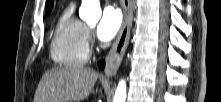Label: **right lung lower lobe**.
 Wrapping results in <instances>:
<instances>
[{
	"label": "right lung lower lobe",
	"instance_id": "98d812e1",
	"mask_svg": "<svg viewBox=\"0 0 221 102\" xmlns=\"http://www.w3.org/2000/svg\"><path fill=\"white\" fill-rule=\"evenodd\" d=\"M100 67L103 68L104 67V63H99Z\"/></svg>",
	"mask_w": 221,
	"mask_h": 102
}]
</instances>
